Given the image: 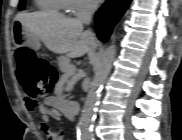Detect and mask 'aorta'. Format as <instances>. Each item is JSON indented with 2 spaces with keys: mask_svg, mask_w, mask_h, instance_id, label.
Returning <instances> with one entry per match:
<instances>
[{
  "mask_svg": "<svg viewBox=\"0 0 182 140\" xmlns=\"http://www.w3.org/2000/svg\"><path fill=\"white\" fill-rule=\"evenodd\" d=\"M114 57L115 46L113 45L109 46L100 57L97 71L91 82L90 90L87 94V98L78 123V132L81 140H91L93 137L92 124L95 109L100 98L103 83L112 68Z\"/></svg>",
  "mask_w": 182,
  "mask_h": 140,
  "instance_id": "aorta-1",
  "label": "aorta"
}]
</instances>
